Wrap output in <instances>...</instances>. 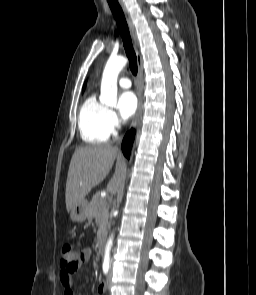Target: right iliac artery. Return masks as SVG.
<instances>
[{
    "mask_svg": "<svg viewBox=\"0 0 256 295\" xmlns=\"http://www.w3.org/2000/svg\"><path fill=\"white\" fill-rule=\"evenodd\" d=\"M108 271H109V263L104 262L103 263V272H104V274H107Z\"/></svg>",
    "mask_w": 256,
    "mask_h": 295,
    "instance_id": "82829eb1",
    "label": "right iliac artery"
}]
</instances>
